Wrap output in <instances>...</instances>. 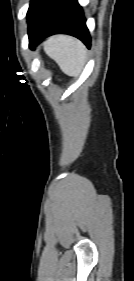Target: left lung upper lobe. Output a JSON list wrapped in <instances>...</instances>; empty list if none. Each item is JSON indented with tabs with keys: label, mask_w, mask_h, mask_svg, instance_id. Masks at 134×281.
<instances>
[{
	"label": "left lung upper lobe",
	"mask_w": 134,
	"mask_h": 281,
	"mask_svg": "<svg viewBox=\"0 0 134 281\" xmlns=\"http://www.w3.org/2000/svg\"><path fill=\"white\" fill-rule=\"evenodd\" d=\"M39 2H40V0H31L30 7H29L28 13H27L28 20Z\"/></svg>",
	"instance_id": "5c2ea615"
}]
</instances>
